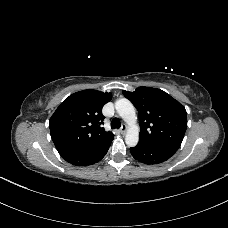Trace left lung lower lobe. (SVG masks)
<instances>
[{
    "instance_id": "left-lung-lower-lobe-1",
    "label": "left lung lower lobe",
    "mask_w": 228,
    "mask_h": 228,
    "mask_svg": "<svg viewBox=\"0 0 228 228\" xmlns=\"http://www.w3.org/2000/svg\"><path fill=\"white\" fill-rule=\"evenodd\" d=\"M130 152L140 162L145 164H159L173 156L176 150L161 146L138 144L136 147L130 148Z\"/></svg>"
}]
</instances>
